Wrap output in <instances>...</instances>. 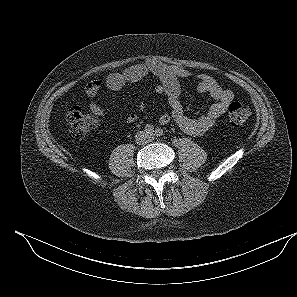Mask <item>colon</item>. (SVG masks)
I'll return each mask as SVG.
<instances>
[{"label": "colon", "mask_w": 297, "mask_h": 297, "mask_svg": "<svg viewBox=\"0 0 297 297\" xmlns=\"http://www.w3.org/2000/svg\"><path fill=\"white\" fill-rule=\"evenodd\" d=\"M252 115L250 106L239 101H233L229 106L228 118L233 126L246 124ZM69 123V137L73 141L83 139L97 126V120L90 114L85 113L78 106L70 107L66 115Z\"/></svg>", "instance_id": "1"}]
</instances>
